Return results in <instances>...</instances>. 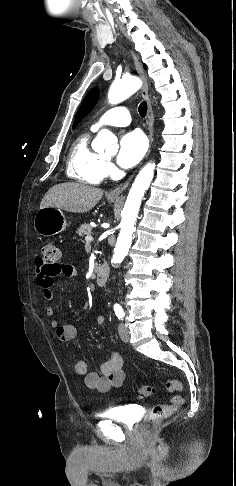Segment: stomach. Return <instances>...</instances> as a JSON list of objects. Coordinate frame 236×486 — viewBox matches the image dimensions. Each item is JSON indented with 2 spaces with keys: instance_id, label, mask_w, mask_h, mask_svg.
I'll return each instance as SVG.
<instances>
[{
  "instance_id": "obj_1",
  "label": "stomach",
  "mask_w": 236,
  "mask_h": 486,
  "mask_svg": "<svg viewBox=\"0 0 236 486\" xmlns=\"http://www.w3.org/2000/svg\"><path fill=\"white\" fill-rule=\"evenodd\" d=\"M110 202L115 199L109 198ZM66 228V218L62 210L55 207H45L38 210L34 217V229L42 236H53Z\"/></svg>"
}]
</instances>
